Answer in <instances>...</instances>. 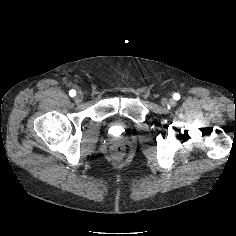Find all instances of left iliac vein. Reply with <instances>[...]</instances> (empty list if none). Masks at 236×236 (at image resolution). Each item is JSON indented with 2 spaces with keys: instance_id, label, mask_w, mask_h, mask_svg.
Segmentation results:
<instances>
[{
  "instance_id": "obj_1",
  "label": "left iliac vein",
  "mask_w": 236,
  "mask_h": 236,
  "mask_svg": "<svg viewBox=\"0 0 236 236\" xmlns=\"http://www.w3.org/2000/svg\"><path fill=\"white\" fill-rule=\"evenodd\" d=\"M163 106H174L175 105V101L173 99H162L161 101Z\"/></svg>"
}]
</instances>
